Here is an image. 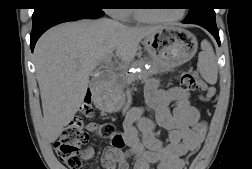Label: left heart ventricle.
Masks as SVG:
<instances>
[{
	"label": "left heart ventricle",
	"mask_w": 252,
	"mask_h": 169,
	"mask_svg": "<svg viewBox=\"0 0 252 169\" xmlns=\"http://www.w3.org/2000/svg\"><path fill=\"white\" fill-rule=\"evenodd\" d=\"M141 12L151 18H167V17H173L178 14L179 11H176V9L173 10H145L142 9Z\"/></svg>",
	"instance_id": "left-heart-ventricle-1"
}]
</instances>
